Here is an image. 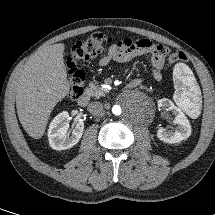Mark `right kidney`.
<instances>
[{"label":"right kidney","mask_w":215,"mask_h":215,"mask_svg":"<svg viewBox=\"0 0 215 215\" xmlns=\"http://www.w3.org/2000/svg\"><path fill=\"white\" fill-rule=\"evenodd\" d=\"M69 128V114L63 111L50 123L48 129L49 144L54 150H65L76 145L84 131V123L79 121L73 129L71 136L67 133Z\"/></svg>","instance_id":"ca27d5eb"}]
</instances>
